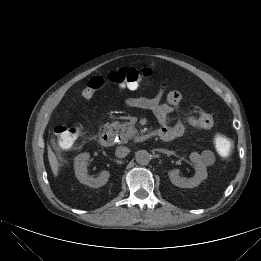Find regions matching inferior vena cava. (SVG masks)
<instances>
[{
	"label": "inferior vena cava",
	"instance_id": "inferior-vena-cava-1",
	"mask_svg": "<svg viewBox=\"0 0 261 261\" xmlns=\"http://www.w3.org/2000/svg\"><path fill=\"white\" fill-rule=\"evenodd\" d=\"M129 152H130L129 148L120 146L116 148L115 155L118 158H124L128 155Z\"/></svg>",
	"mask_w": 261,
	"mask_h": 261
}]
</instances>
